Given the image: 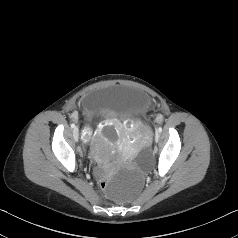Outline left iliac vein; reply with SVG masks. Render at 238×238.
I'll return each mask as SVG.
<instances>
[{
    "label": "left iliac vein",
    "instance_id": "obj_1",
    "mask_svg": "<svg viewBox=\"0 0 238 238\" xmlns=\"http://www.w3.org/2000/svg\"><path fill=\"white\" fill-rule=\"evenodd\" d=\"M160 138V132L156 131L155 133V140L158 141Z\"/></svg>",
    "mask_w": 238,
    "mask_h": 238
}]
</instances>
